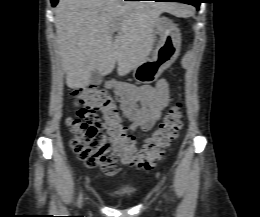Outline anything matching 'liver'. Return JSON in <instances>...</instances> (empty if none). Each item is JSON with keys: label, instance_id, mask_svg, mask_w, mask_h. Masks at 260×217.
Returning <instances> with one entry per match:
<instances>
[{"label": "liver", "instance_id": "obj_1", "mask_svg": "<svg viewBox=\"0 0 260 217\" xmlns=\"http://www.w3.org/2000/svg\"><path fill=\"white\" fill-rule=\"evenodd\" d=\"M163 12L187 14L168 2L60 0L54 23L66 85L86 87L93 70L108 75L116 62L119 75L133 70L151 54L154 27Z\"/></svg>", "mask_w": 260, "mask_h": 217}]
</instances>
